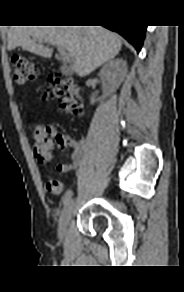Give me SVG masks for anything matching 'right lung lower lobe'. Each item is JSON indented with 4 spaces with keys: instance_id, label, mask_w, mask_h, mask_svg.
I'll list each match as a JSON object with an SVG mask.
<instances>
[{
    "instance_id": "obj_1",
    "label": "right lung lower lobe",
    "mask_w": 184,
    "mask_h": 292,
    "mask_svg": "<svg viewBox=\"0 0 184 292\" xmlns=\"http://www.w3.org/2000/svg\"><path fill=\"white\" fill-rule=\"evenodd\" d=\"M104 27L118 32L120 35H122L126 40H128L139 52L147 26L145 25H138V26H129V25H104Z\"/></svg>"
}]
</instances>
